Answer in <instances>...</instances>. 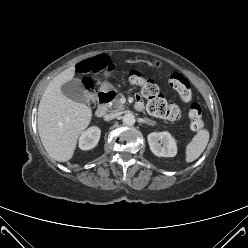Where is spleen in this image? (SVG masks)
<instances>
[{
    "mask_svg": "<svg viewBox=\"0 0 248 248\" xmlns=\"http://www.w3.org/2000/svg\"><path fill=\"white\" fill-rule=\"evenodd\" d=\"M210 134L207 129H200L192 138L191 142L186 146V162H193L205 150L209 142Z\"/></svg>",
    "mask_w": 248,
    "mask_h": 248,
    "instance_id": "obj_1",
    "label": "spleen"
}]
</instances>
